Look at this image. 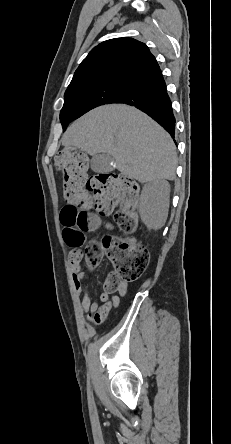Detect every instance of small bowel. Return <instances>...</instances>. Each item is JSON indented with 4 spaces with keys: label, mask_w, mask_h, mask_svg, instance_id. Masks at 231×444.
<instances>
[{
    "label": "small bowel",
    "mask_w": 231,
    "mask_h": 444,
    "mask_svg": "<svg viewBox=\"0 0 231 444\" xmlns=\"http://www.w3.org/2000/svg\"><path fill=\"white\" fill-rule=\"evenodd\" d=\"M63 236L65 242L69 246L74 247V250L71 252L70 261L73 271L75 290L77 295H81V310L88 314V319L91 322L94 324H101L108 318L111 309L119 306L120 298L118 296H110L108 293L103 292L100 295V302L91 300L87 285L84 282L85 273L80 267L82 255L78 250V247L81 246L83 242V234L77 232L76 230L64 227ZM126 290L127 284L122 283L119 289L120 295L124 296L126 294Z\"/></svg>",
    "instance_id": "small-bowel-1"
}]
</instances>
